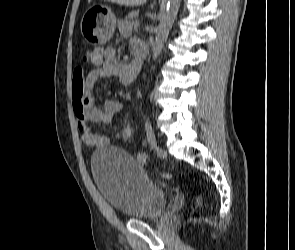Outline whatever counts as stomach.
Instances as JSON below:
<instances>
[{
    "instance_id": "obj_1",
    "label": "stomach",
    "mask_w": 295,
    "mask_h": 250,
    "mask_svg": "<svg viewBox=\"0 0 295 250\" xmlns=\"http://www.w3.org/2000/svg\"><path fill=\"white\" fill-rule=\"evenodd\" d=\"M115 14L105 5L94 4L88 8L81 20V33L91 45H106L116 28Z\"/></svg>"
}]
</instances>
